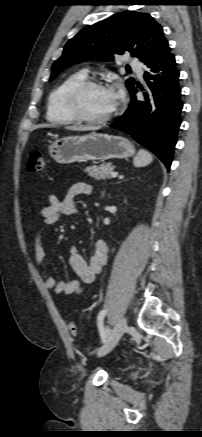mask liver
<instances>
[{"mask_svg": "<svg viewBox=\"0 0 202 437\" xmlns=\"http://www.w3.org/2000/svg\"><path fill=\"white\" fill-rule=\"evenodd\" d=\"M65 129L71 131H90V130H95L96 128L91 126H67L65 127Z\"/></svg>", "mask_w": 202, "mask_h": 437, "instance_id": "liver-1", "label": "liver"}]
</instances>
